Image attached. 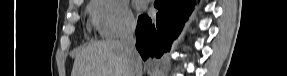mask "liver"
<instances>
[{
  "mask_svg": "<svg viewBox=\"0 0 287 76\" xmlns=\"http://www.w3.org/2000/svg\"><path fill=\"white\" fill-rule=\"evenodd\" d=\"M71 76H129L121 42L107 39L79 50Z\"/></svg>",
  "mask_w": 287,
  "mask_h": 76,
  "instance_id": "obj_1",
  "label": "liver"
}]
</instances>
